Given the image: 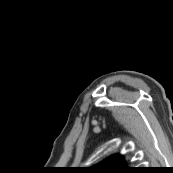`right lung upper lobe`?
I'll use <instances>...</instances> for the list:
<instances>
[{"label": "right lung upper lobe", "mask_w": 173, "mask_h": 173, "mask_svg": "<svg viewBox=\"0 0 173 173\" xmlns=\"http://www.w3.org/2000/svg\"><path fill=\"white\" fill-rule=\"evenodd\" d=\"M89 170L93 173H128L132 168L125 165L122 156L113 155L99 164L90 167Z\"/></svg>", "instance_id": "cb5924a9"}]
</instances>
